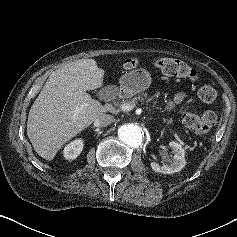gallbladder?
Wrapping results in <instances>:
<instances>
[{"mask_svg": "<svg viewBox=\"0 0 237 237\" xmlns=\"http://www.w3.org/2000/svg\"><path fill=\"white\" fill-rule=\"evenodd\" d=\"M107 90V88L104 89V92ZM102 98H105V95L102 94Z\"/></svg>", "mask_w": 237, "mask_h": 237, "instance_id": "obj_1", "label": "gallbladder"}]
</instances>
